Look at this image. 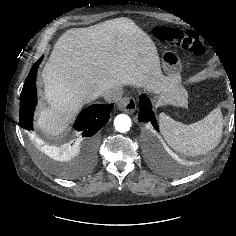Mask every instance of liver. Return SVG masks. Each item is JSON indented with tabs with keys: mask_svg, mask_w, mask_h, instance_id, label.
<instances>
[{
	"mask_svg": "<svg viewBox=\"0 0 236 236\" xmlns=\"http://www.w3.org/2000/svg\"><path fill=\"white\" fill-rule=\"evenodd\" d=\"M42 78L48 107L37 113L36 126L51 136L65 132L84 104L124 85L161 93L165 104L187 106L180 89L162 74L152 39L126 17L67 30Z\"/></svg>",
	"mask_w": 236,
	"mask_h": 236,
	"instance_id": "obj_1",
	"label": "liver"
}]
</instances>
